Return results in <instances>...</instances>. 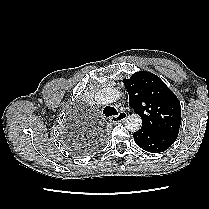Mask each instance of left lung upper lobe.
Returning <instances> with one entry per match:
<instances>
[{
  "instance_id": "obj_1",
  "label": "left lung upper lobe",
  "mask_w": 209,
  "mask_h": 209,
  "mask_svg": "<svg viewBox=\"0 0 209 209\" xmlns=\"http://www.w3.org/2000/svg\"><path fill=\"white\" fill-rule=\"evenodd\" d=\"M123 83L129 93V105L142 118L143 128L178 136L181 125L180 102L159 77L141 71Z\"/></svg>"
}]
</instances>
